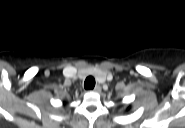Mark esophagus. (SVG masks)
I'll list each match as a JSON object with an SVG mask.
<instances>
[{
    "label": "esophagus",
    "mask_w": 185,
    "mask_h": 128,
    "mask_svg": "<svg viewBox=\"0 0 185 128\" xmlns=\"http://www.w3.org/2000/svg\"><path fill=\"white\" fill-rule=\"evenodd\" d=\"M93 91L95 92H100L101 91V86L100 85H96L93 89Z\"/></svg>",
    "instance_id": "34e87169"
}]
</instances>
